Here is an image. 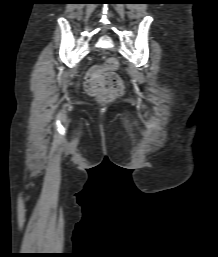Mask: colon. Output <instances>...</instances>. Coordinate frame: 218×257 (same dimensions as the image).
Masks as SVG:
<instances>
[{
	"instance_id": "1",
	"label": "colon",
	"mask_w": 218,
	"mask_h": 257,
	"mask_svg": "<svg viewBox=\"0 0 218 257\" xmlns=\"http://www.w3.org/2000/svg\"><path fill=\"white\" fill-rule=\"evenodd\" d=\"M117 68L118 61L115 58L107 59L103 68H91L85 77L87 91L107 101L121 95L124 92V84L114 73Z\"/></svg>"
}]
</instances>
